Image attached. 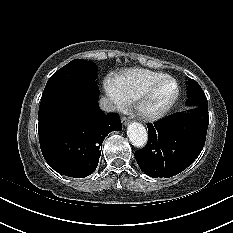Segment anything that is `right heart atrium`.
<instances>
[{"label": "right heart atrium", "mask_w": 233, "mask_h": 233, "mask_svg": "<svg viewBox=\"0 0 233 233\" xmlns=\"http://www.w3.org/2000/svg\"><path fill=\"white\" fill-rule=\"evenodd\" d=\"M104 88L114 109L123 111L127 107L128 101L117 91L114 80L110 78L106 79Z\"/></svg>", "instance_id": "right-heart-atrium-1"}]
</instances>
